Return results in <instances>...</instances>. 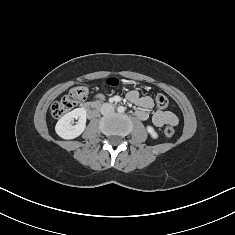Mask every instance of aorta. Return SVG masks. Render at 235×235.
<instances>
[{"instance_id":"1","label":"aorta","mask_w":235,"mask_h":235,"mask_svg":"<svg viewBox=\"0 0 235 235\" xmlns=\"http://www.w3.org/2000/svg\"><path fill=\"white\" fill-rule=\"evenodd\" d=\"M124 110H125L124 107H122V106H119V107H118V112H121V113H122V112H124Z\"/></svg>"}]
</instances>
